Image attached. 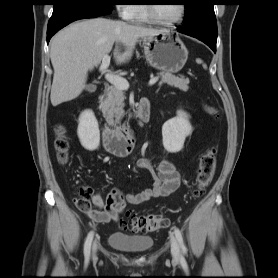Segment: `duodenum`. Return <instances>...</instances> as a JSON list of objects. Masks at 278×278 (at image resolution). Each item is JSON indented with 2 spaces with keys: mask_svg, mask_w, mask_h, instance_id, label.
I'll return each instance as SVG.
<instances>
[{
  "mask_svg": "<svg viewBox=\"0 0 278 278\" xmlns=\"http://www.w3.org/2000/svg\"><path fill=\"white\" fill-rule=\"evenodd\" d=\"M130 116L138 121L147 122L150 119L148 100H140ZM102 136L105 149L115 155L124 156L131 150L134 135L131 128L126 124L116 128H103Z\"/></svg>",
  "mask_w": 278,
  "mask_h": 278,
  "instance_id": "obj_1",
  "label": "duodenum"
}]
</instances>
